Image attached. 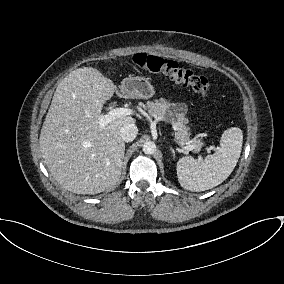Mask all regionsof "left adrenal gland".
I'll return each mask as SVG.
<instances>
[{
	"label": "left adrenal gland",
	"instance_id": "obj_1",
	"mask_svg": "<svg viewBox=\"0 0 284 284\" xmlns=\"http://www.w3.org/2000/svg\"><path fill=\"white\" fill-rule=\"evenodd\" d=\"M170 150L172 151V153H173V156L175 157V155H176V152H175V150L173 149V147H172V146H170Z\"/></svg>",
	"mask_w": 284,
	"mask_h": 284
}]
</instances>
